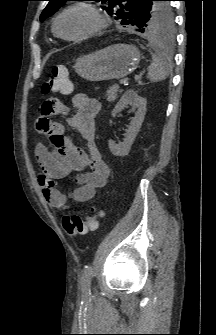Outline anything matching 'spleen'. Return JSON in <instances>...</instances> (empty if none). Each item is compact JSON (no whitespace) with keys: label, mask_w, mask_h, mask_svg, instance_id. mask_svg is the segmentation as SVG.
<instances>
[{"label":"spleen","mask_w":216,"mask_h":335,"mask_svg":"<svg viewBox=\"0 0 216 335\" xmlns=\"http://www.w3.org/2000/svg\"><path fill=\"white\" fill-rule=\"evenodd\" d=\"M155 54L152 55V63L148 67L147 78L150 81L164 80L171 70V62L168 60L166 54L153 44Z\"/></svg>","instance_id":"obj_1"}]
</instances>
